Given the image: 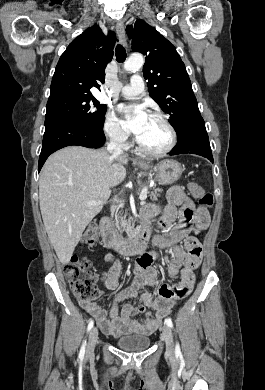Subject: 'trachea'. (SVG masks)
<instances>
[{
    "label": "trachea",
    "mask_w": 265,
    "mask_h": 390,
    "mask_svg": "<svg viewBox=\"0 0 265 390\" xmlns=\"http://www.w3.org/2000/svg\"><path fill=\"white\" fill-rule=\"evenodd\" d=\"M125 59H126V51L122 45L118 44L116 46V60L119 63H122L124 62Z\"/></svg>",
    "instance_id": "1"
}]
</instances>
